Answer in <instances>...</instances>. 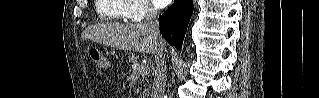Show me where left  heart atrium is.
I'll return each mask as SVG.
<instances>
[{
	"instance_id": "1",
	"label": "left heart atrium",
	"mask_w": 319,
	"mask_h": 98,
	"mask_svg": "<svg viewBox=\"0 0 319 98\" xmlns=\"http://www.w3.org/2000/svg\"><path fill=\"white\" fill-rule=\"evenodd\" d=\"M158 8H165L170 3V0H154L153 1Z\"/></svg>"
}]
</instances>
